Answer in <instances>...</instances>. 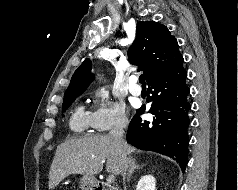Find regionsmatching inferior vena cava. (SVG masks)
I'll return each instance as SVG.
<instances>
[{
	"label": "inferior vena cava",
	"mask_w": 238,
	"mask_h": 190,
	"mask_svg": "<svg viewBox=\"0 0 238 190\" xmlns=\"http://www.w3.org/2000/svg\"><path fill=\"white\" fill-rule=\"evenodd\" d=\"M127 124V119L122 118L116 123L114 129L110 131V136L114 139L120 152L121 175L123 176V180H125L126 170L128 168V159L126 158V154L124 152L125 141L123 139L124 128L127 126Z\"/></svg>",
	"instance_id": "inferior-vena-cava-1"
}]
</instances>
